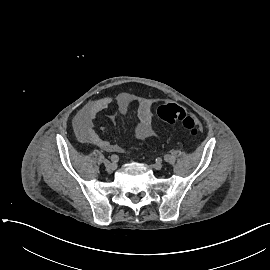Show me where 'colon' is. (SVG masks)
<instances>
[{
    "label": "colon",
    "mask_w": 270,
    "mask_h": 270,
    "mask_svg": "<svg viewBox=\"0 0 270 270\" xmlns=\"http://www.w3.org/2000/svg\"><path fill=\"white\" fill-rule=\"evenodd\" d=\"M157 117L165 124L181 125L192 135H197L201 132V126L197 118L182 105L176 103L163 105L158 108Z\"/></svg>",
    "instance_id": "colon-1"
}]
</instances>
